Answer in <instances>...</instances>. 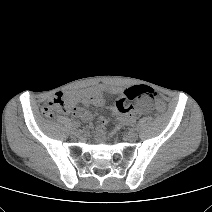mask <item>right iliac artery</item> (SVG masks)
Returning <instances> with one entry per match:
<instances>
[{
  "label": "right iliac artery",
  "mask_w": 212,
  "mask_h": 212,
  "mask_svg": "<svg viewBox=\"0 0 212 212\" xmlns=\"http://www.w3.org/2000/svg\"><path fill=\"white\" fill-rule=\"evenodd\" d=\"M71 126H72V128L76 129V128L80 127V123L79 122H72Z\"/></svg>",
  "instance_id": "right-iliac-artery-1"
}]
</instances>
